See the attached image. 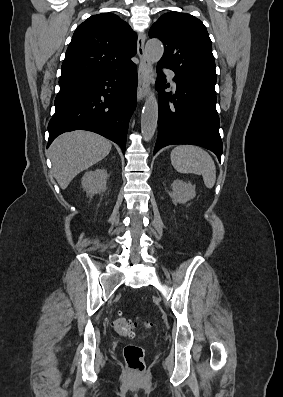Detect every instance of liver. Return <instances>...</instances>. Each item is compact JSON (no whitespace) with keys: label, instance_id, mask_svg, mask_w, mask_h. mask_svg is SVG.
Returning a JSON list of instances; mask_svg holds the SVG:
<instances>
[{"label":"liver","instance_id":"liver-1","mask_svg":"<svg viewBox=\"0 0 283 397\" xmlns=\"http://www.w3.org/2000/svg\"><path fill=\"white\" fill-rule=\"evenodd\" d=\"M111 148L109 140L93 132L77 130L57 137L49 151L59 186L66 189L77 174L105 158Z\"/></svg>","mask_w":283,"mask_h":397}]
</instances>
